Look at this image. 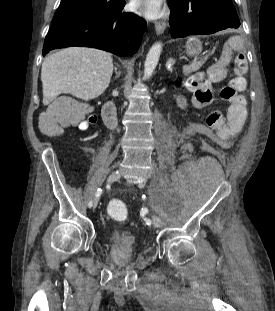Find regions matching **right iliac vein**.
<instances>
[{
  "label": "right iliac vein",
  "instance_id": "right-iliac-vein-1",
  "mask_svg": "<svg viewBox=\"0 0 275 311\" xmlns=\"http://www.w3.org/2000/svg\"><path fill=\"white\" fill-rule=\"evenodd\" d=\"M119 178H120V172H119V170H114V171H112V172L110 173V175H109L107 181H108L109 183H112V182L117 181ZM97 204H98V199H96V200L94 201L93 207L95 208V207L97 206Z\"/></svg>",
  "mask_w": 275,
  "mask_h": 311
}]
</instances>
